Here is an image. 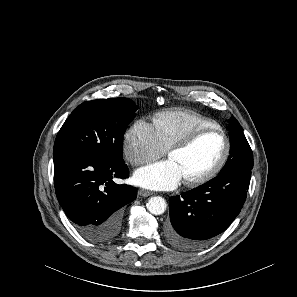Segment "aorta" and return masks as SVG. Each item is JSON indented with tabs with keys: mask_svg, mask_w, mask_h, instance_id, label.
Wrapping results in <instances>:
<instances>
[{
	"mask_svg": "<svg viewBox=\"0 0 297 297\" xmlns=\"http://www.w3.org/2000/svg\"><path fill=\"white\" fill-rule=\"evenodd\" d=\"M146 207L151 214L161 215L166 210V202L164 198L155 196L148 200Z\"/></svg>",
	"mask_w": 297,
	"mask_h": 297,
	"instance_id": "obj_1",
	"label": "aorta"
}]
</instances>
